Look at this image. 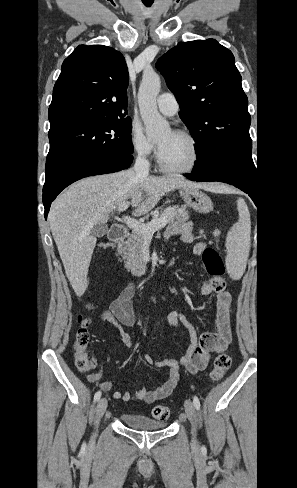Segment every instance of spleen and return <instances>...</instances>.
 Masks as SVG:
<instances>
[{"instance_id":"3e777b00","label":"spleen","mask_w":297,"mask_h":488,"mask_svg":"<svg viewBox=\"0 0 297 488\" xmlns=\"http://www.w3.org/2000/svg\"><path fill=\"white\" fill-rule=\"evenodd\" d=\"M238 221L231 227L226 237V266L230 277L239 280L246 268L250 251V214L244 199L237 200Z\"/></svg>"}]
</instances>
